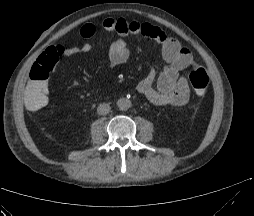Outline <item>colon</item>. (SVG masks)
Here are the masks:
<instances>
[{"instance_id": "5ec220e1", "label": "colon", "mask_w": 254, "mask_h": 216, "mask_svg": "<svg viewBox=\"0 0 254 216\" xmlns=\"http://www.w3.org/2000/svg\"><path fill=\"white\" fill-rule=\"evenodd\" d=\"M61 52L60 47L48 48L32 65L22 89L23 107L29 113H40L47 106L49 87L46 81L60 61ZM189 80L196 94L203 95L208 87L209 73L204 66L194 64L189 70Z\"/></svg>"}]
</instances>
